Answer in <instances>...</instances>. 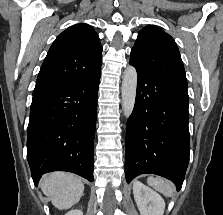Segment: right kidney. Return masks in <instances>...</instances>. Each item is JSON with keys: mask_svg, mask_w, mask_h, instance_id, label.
<instances>
[{"mask_svg": "<svg viewBox=\"0 0 223 215\" xmlns=\"http://www.w3.org/2000/svg\"><path fill=\"white\" fill-rule=\"evenodd\" d=\"M65 215H83V211L81 209H70Z\"/></svg>", "mask_w": 223, "mask_h": 215, "instance_id": "obj_1", "label": "right kidney"}]
</instances>
